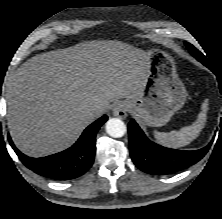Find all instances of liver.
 <instances>
[{"label":"liver","mask_w":222,"mask_h":219,"mask_svg":"<svg viewBox=\"0 0 222 219\" xmlns=\"http://www.w3.org/2000/svg\"><path fill=\"white\" fill-rule=\"evenodd\" d=\"M147 52L121 41L94 40L38 54L7 82V121L24 154L43 157L71 146L98 115L143 90Z\"/></svg>","instance_id":"6515ba94"}]
</instances>
